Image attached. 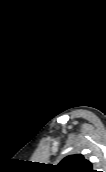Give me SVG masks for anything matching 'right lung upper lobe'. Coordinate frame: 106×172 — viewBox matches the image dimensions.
Instances as JSON below:
<instances>
[{
	"mask_svg": "<svg viewBox=\"0 0 106 172\" xmlns=\"http://www.w3.org/2000/svg\"><path fill=\"white\" fill-rule=\"evenodd\" d=\"M53 172H95L92 164L81 154L70 155L52 168Z\"/></svg>",
	"mask_w": 106,
	"mask_h": 172,
	"instance_id": "1",
	"label": "right lung upper lobe"
}]
</instances>
